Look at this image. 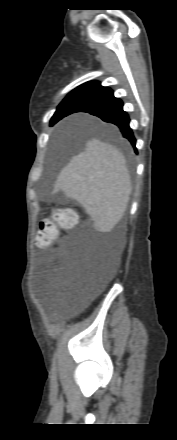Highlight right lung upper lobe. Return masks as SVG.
<instances>
[{
	"label": "right lung upper lobe",
	"mask_w": 177,
	"mask_h": 440,
	"mask_svg": "<svg viewBox=\"0 0 177 440\" xmlns=\"http://www.w3.org/2000/svg\"><path fill=\"white\" fill-rule=\"evenodd\" d=\"M71 93H75L80 96L90 97L95 99V102L103 100L107 97L113 95V92L108 87H103L97 81H91L84 83L74 89ZM61 119V118H60ZM59 118H55L54 116L51 119V124H55L60 120Z\"/></svg>",
	"instance_id": "cb5924a9"
}]
</instances>
